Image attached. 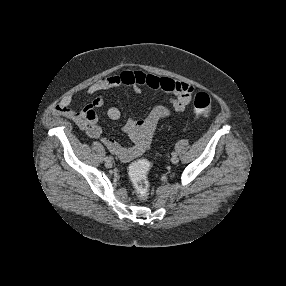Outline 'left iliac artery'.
<instances>
[{
	"label": "left iliac artery",
	"mask_w": 286,
	"mask_h": 286,
	"mask_svg": "<svg viewBox=\"0 0 286 286\" xmlns=\"http://www.w3.org/2000/svg\"><path fill=\"white\" fill-rule=\"evenodd\" d=\"M172 156H177V153L173 152V153H172Z\"/></svg>",
	"instance_id": "44dca946"
}]
</instances>
